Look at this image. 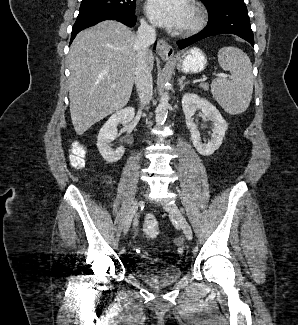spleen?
Segmentation results:
<instances>
[{
  "mask_svg": "<svg viewBox=\"0 0 298 325\" xmlns=\"http://www.w3.org/2000/svg\"><path fill=\"white\" fill-rule=\"evenodd\" d=\"M218 60L224 70H230L231 80L221 76L213 78V98L229 114L245 112L253 92L252 62L248 54L237 46H223L218 52Z\"/></svg>",
  "mask_w": 298,
  "mask_h": 325,
  "instance_id": "3e777b00",
  "label": "spleen"
}]
</instances>
